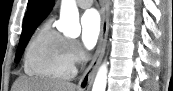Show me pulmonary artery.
<instances>
[{"mask_svg":"<svg viewBox=\"0 0 173 91\" xmlns=\"http://www.w3.org/2000/svg\"><path fill=\"white\" fill-rule=\"evenodd\" d=\"M76 3L80 8H88L92 5L93 0H78Z\"/></svg>","mask_w":173,"mask_h":91,"instance_id":"e3ab8cb5","label":"pulmonary artery"}]
</instances>
